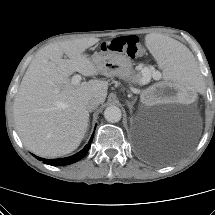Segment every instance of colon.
<instances>
[{"instance_id": "5ec220e1", "label": "colon", "mask_w": 215, "mask_h": 215, "mask_svg": "<svg viewBox=\"0 0 215 215\" xmlns=\"http://www.w3.org/2000/svg\"><path fill=\"white\" fill-rule=\"evenodd\" d=\"M104 49L119 53H125L131 58L144 55L145 50L135 35L116 37L104 43Z\"/></svg>"}]
</instances>
